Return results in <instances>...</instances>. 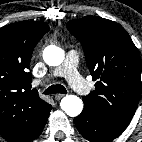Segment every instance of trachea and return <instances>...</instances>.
I'll return each instance as SVG.
<instances>
[{"instance_id": "trachea-1", "label": "trachea", "mask_w": 142, "mask_h": 142, "mask_svg": "<svg viewBox=\"0 0 142 142\" xmlns=\"http://www.w3.org/2000/svg\"><path fill=\"white\" fill-rule=\"evenodd\" d=\"M43 93L44 94H56V93L65 94L67 93V90L64 86L57 84V85H51Z\"/></svg>"}]
</instances>
